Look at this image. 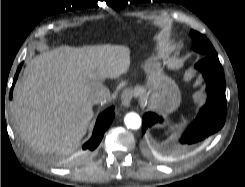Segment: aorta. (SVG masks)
<instances>
[{
	"mask_svg": "<svg viewBox=\"0 0 245 187\" xmlns=\"http://www.w3.org/2000/svg\"><path fill=\"white\" fill-rule=\"evenodd\" d=\"M125 125L130 129H139L141 127V118L137 113L130 112L124 118Z\"/></svg>",
	"mask_w": 245,
	"mask_h": 187,
	"instance_id": "aorta-1",
	"label": "aorta"
}]
</instances>
